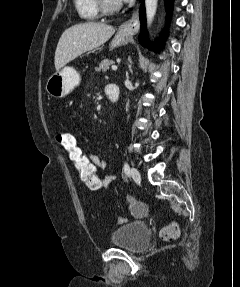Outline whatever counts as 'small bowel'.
<instances>
[{
    "mask_svg": "<svg viewBox=\"0 0 240 287\" xmlns=\"http://www.w3.org/2000/svg\"><path fill=\"white\" fill-rule=\"evenodd\" d=\"M106 90H107V88H106ZM88 157L98 169H104L107 166L106 160L104 158L100 157L99 155L88 154ZM114 181H115V175L114 174L105 176L102 179L103 186H105V187L110 186ZM126 201L128 203L130 211L134 215H137L139 212H143V213L147 212L146 204L137 200L135 197H133L131 195H127Z\"/></svg>",
    "mask_w": 240,
    "mask_h": 287,
    "instance_id": "c3829d8e",
    "label": "small bowel"
}]
</instances>
